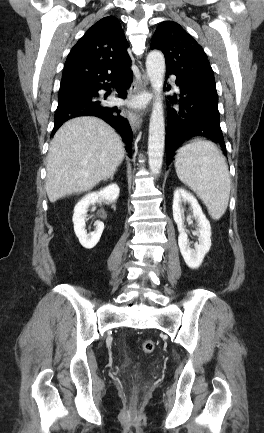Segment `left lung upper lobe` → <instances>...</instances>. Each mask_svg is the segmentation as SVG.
I'll list each match as a JSON object with an SVG mask.
<instances>
[{
    "mask_svg": "<svg viewBox=\"0 0 264 433\" xmlns=\"http://www.w3.org/2000/svg\"><path fill=\"white\" fill-rule=\"evenodd\" d=\"M151 48L165 55L166 69L189 83L215 86L212 68L202 47L176 22H162L151 41Z\"/></svg>",
    "mask_w": 264,
    "mask_h": 433,
    "instance_id": "5c2ea615",
    "label": "left lung upper lobe"
}]
</instances>
